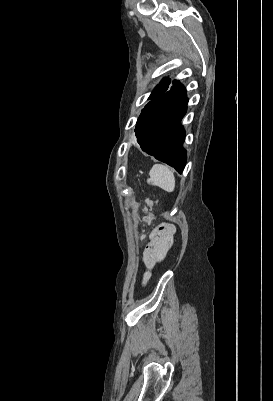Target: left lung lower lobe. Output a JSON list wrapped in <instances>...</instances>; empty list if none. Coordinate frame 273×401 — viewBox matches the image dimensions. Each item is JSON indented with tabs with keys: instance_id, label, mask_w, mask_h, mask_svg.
<instances>
[{
	"instance_id": "left-lung-lower-lobe-1",
	"label": "left lung lower lobe",
	"mask_w": 273,
	"mask_h": 401,
	"mask_svg": "<svg viewBox=\"0 0 273 401\" xmlns=\"http://www.w3.org/2000/svg\"><path fill=\"white\" fill-rule=\"evenodd\" d=\"M186 90L173 81L169 91L153 98L142 109L135 128L136 144L147 154L182 173L186 164L185 130L181 120L187 110Z\"/></svg>"
}]
</instances>
